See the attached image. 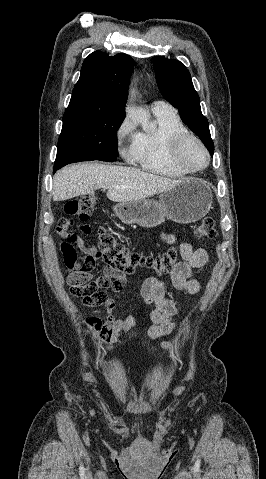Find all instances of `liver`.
Wrapping results in <instances>:
<instances>
[{
    "label": "liver",
    "instance_id": "obj_1",
    "mask_svg": "<svg viewBox=\"0 0 266 479\" xmlns=\"http://www.w3.org/2000/svg\"><path fill=\"white\" fill-rule=\"evenodd\" d=\"M184 180H173L132 167L97 162L73 164L57 172L53 178L54 201L81 195H93L97 189H108L114 202L146 199L167 191ZM119 187V188H118Z\"/></svg>",
    "mask_w": 266,
    "mask_h": 479
}]
</instances>
